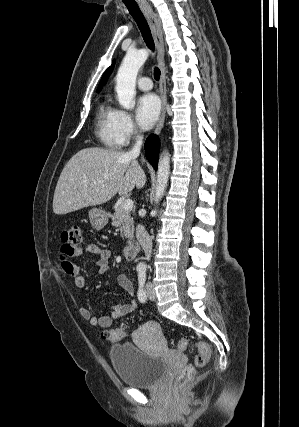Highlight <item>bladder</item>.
<instances>
[{
    "mask_svg": "<svg viewBox=\"0 0 299 427\" xmlns=\"http://www.w3.org/2000/svg\"><path fill=\"white\" fill-rule=\"evenodd\" d=\"M109 356L119 379L137 388L156 386L167 370L163 358L149 355L131 342L112 345Z\"/></svg>",
    "mask_w": 299,
    "mask_h": 427,
    "instance_id": "1",
    "label": "bladder"
}]
</instances>
